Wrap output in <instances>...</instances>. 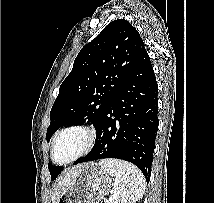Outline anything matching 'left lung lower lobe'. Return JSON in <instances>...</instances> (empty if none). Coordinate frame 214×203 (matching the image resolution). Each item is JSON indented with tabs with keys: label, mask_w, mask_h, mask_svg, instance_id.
<instances>
[{
	"label": "left lung lower lobe",
	"mask_w": 214,
	"mask_h": 203,
	"mask_svg": "<svg viewBox=\"0 0 214 203\" xmlns=\"http://www.w3.org/2000/svg\"><path fill=\"white\" fill-rule=\"evenodd\" d=\"M157 91L145 50L102 115L94 147L73 165L103 158L122 159L136 165L149 182L158 130Z\"/></svg>",
	"instance_id": "1"
}]
</instances>
